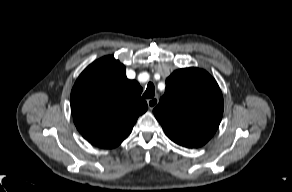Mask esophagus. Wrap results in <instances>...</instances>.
Instances as JSON below:
<instances>
[{
  "mask_svg": "<svg viewBox=\"0 0 292 192\" xmlns=\"http://www.w3.org/2000/svg\"><path fill=\"white\" fill-rule=\"evenodd\" d=\"M158 102L159 100L157 97L148 99L147 104H148L149 109H153L158 104Z\"/></svg>",
  "mask_w": 292,
  "mask_h": 192,
  "instance_id": "obj_1",
  "label": "esophagus"
}]
</instances>
